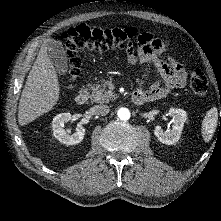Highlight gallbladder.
Segmentation results:
<instances>
[{"label":"gallbladder","mask_w":221,"mask_h":221,"mask_svg":"<svg viewBox=\"0 0 221 221\" xmlns=\"http://www.w3.org/2000/svg\"><path fill=\"white\" fill-rule=\"evenodd\" d=\"M46 45L48 55L56 72L60 75H65L68 70V59L63 44L60 41L50 40Z\"/></svg>","instance_id":"gallbladder-1"}]
</instances>
